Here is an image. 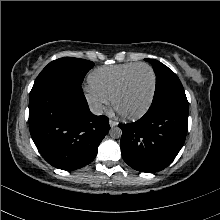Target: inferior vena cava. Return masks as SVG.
<instances>
[{
	"label": "inferior vena cava",
	"mask_w": 220,
	"mask_h": 220,
	"mask_svg": "<svg viewBox=\"0 0 220 220\" xmlns=\"http://www.w3.org/2000/svg\"><path fill=\"white\" fill-rule=\"evenodd\" d=\"M89 108H90L91 113L94 115L103 114V106L100 103H90Z\"/></svg>",
	"instance_id": "602c4592"
}]
</instances>
